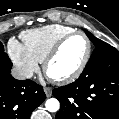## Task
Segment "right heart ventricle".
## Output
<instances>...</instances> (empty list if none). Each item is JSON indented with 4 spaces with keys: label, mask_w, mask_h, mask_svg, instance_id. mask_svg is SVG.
Returning a JSON list of instances; mask_svg holds the SVG:
<instances>
[{
    "label": "right heart ventricle",
    "mask_w": 119,
    "mask_h": 119,
    "mask_svg": "<svg viewBox=\"0 0 119 119\" xmlns=\"http://www.w3.org/2000/svg\"><path fill=\"white\" fill-rule=\"evenodd\" d=\"M72 31H75L72 27L61 24H51L24 31L21 34V38L29 53L38 62H43L54 44L61 37Z\"/></svg>",
    "instance_id": "right-heart-ventricle-1"
}]
</instances>
